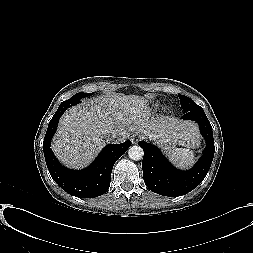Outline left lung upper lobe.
<instances>
[{
  "instance_id": "obj_1",
  "label": "left lung upper lobe",
  "mask_w": 253,
  "mask_h": 253,
  "mask_svg": "<svg viewBox=\"0 0 253 253\" xmlns=\"http://www.w3.org/2000/svg\"><path fill=\"white\" fill-rule=\"evenodd\" d=\"M179 99H180V103H181V107L183 109V111H191V110H198L201 107L197 104H195V102L190 99L187 96L184 95H179Z\"/></svg>"
}]
</instances>
